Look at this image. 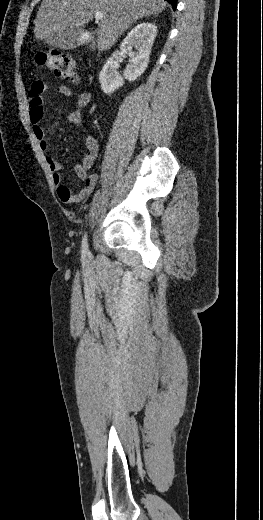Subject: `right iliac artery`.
Wrapping results in <instances>:
<instances>
[{
    "instance_id": "1",
    "label": "right iliac artery",
    "mask_w": 263,
    "mask_h": 520,
    "mask_svg": "<svg viewBox=\"0 0 263 520\" xmlns=\"http://www.w3.org/2000/svg\"><path fill=\"white\" fill-rule=\"evenodd\" d=\"M88 253V243H87V236L86 234L83 237L82 240V254L85 256Z\"/></svg>"
}]
</instances>
